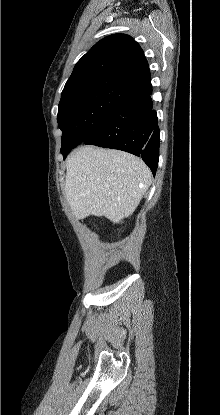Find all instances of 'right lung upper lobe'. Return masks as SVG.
<instances>
[{
	"mask_svg": "<svg viewBox=\"0 0 220 415\" xmlns=\"http://www.w3.org/2000/svg\"><path fill=\"white\" fill-rule=\"evenodd\" d=\"M118 78L140 87L151 81L140 45L126 34H113L97 42L75 65L64 89L98 78Z\"/></svg>",
	"mask_w": 220,
	"mask_h": 415,
	"instance_id": "right-lung-upper-lobe-1",
	"label": "right lung upper lobe"
}]
</instances>
